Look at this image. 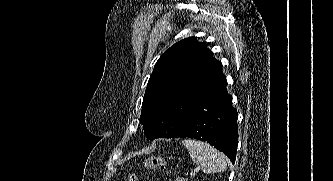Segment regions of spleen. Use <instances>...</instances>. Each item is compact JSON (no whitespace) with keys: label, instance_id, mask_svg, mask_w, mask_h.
Segmentation results:
<instances>
[{"label":"spleen","instance_id":"3e777b00","mask_svg":"<svg viewBox=\"0 0 333 181\" xmlns=\"http://www.w3.org/2000/svg\"><path fill=\"white\" fill-rule=\"evenodd\" d=\"M182 144L188 149L193 162L200 164L204 173L223 172L226 169V157L211 145L191 139L183 140Z\"/></svg>","mask_w":333,"mask_h":181}]
</instances>
